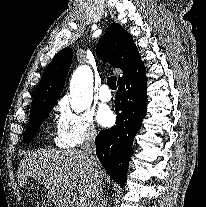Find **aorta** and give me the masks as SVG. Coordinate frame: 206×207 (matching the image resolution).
Listing matches in <instances>:
<instances>
[{"label":"aorta","mask_w":206,"mask_h":207,"mask_svg":"<svg viewBox=\"0 0 206 207\" xmlns=\"http://www.w3.org/2000/svg\"><path fill=\"white\" fill-rule=\"evenodd\" d=\"M93 99V76L89 67L81 66L72 75L70 104L76 113L89 109Z\"/></svg>","instance_id":"1"}]
</instances>
